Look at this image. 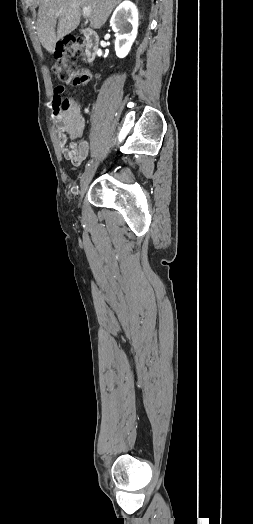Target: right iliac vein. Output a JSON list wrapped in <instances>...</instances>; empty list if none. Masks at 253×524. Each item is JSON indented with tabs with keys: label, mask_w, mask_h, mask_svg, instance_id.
Returning <instances> with one entry per match:
<instances>
[{
	"label": "right iliac vein",
	"mask_w": 253,
	"mask_h": 524,
	"mask_svg": "<svg viewBox=\"0 0 253 524\" xmlns=\"http://www.w3.org/2000/svg\"><path fill=\"white\" fill-rule=\"evenodd\" d=\"M97 169V162L93 163L82 175L80 181V198L84 196Z\"/></svg>",
	"instance_id": "63e3f726"
}]
</instances>
